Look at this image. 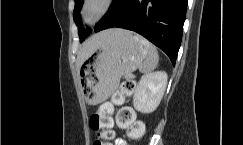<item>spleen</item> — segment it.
<instances>
[{
	"mask_svg": "<svg viewBox=\"0 0 243 145\" xmlns=\"http://www.w3.org/2000/svg\"><path fill=\"white\" fill-rule=\"evenodd\" d=\"M142 42L146 45L148 53L145 61L140 64L139 71L141 73L147 74L153 71L157 67L159 62V55L157 49L153 45H151L148 41L143 39Z\"/></svg>",
	"mask_w": 243,
	"mask_h": 145,
	"instance_id": "1",
	"label": "spleen"
}]
</instances>
